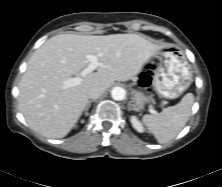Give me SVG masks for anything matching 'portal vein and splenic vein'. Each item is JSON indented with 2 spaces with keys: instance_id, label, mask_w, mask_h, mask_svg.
Segmentation results:
<instances>
[{
  "instance_id": "1",
  "label": "portal vein and splenic vein",
  "mask_w": 222,
  "mask_h": 187,
  "mask_svg": "<svg viewBox=\"0 0 222 187\" xmlns=\"http://www.w3.org/2000/svg\"><path fill=\"white\" fill-rule=\"evenodd\" d=\"M87 60L90 62L89 65L81 72V77H85L86 75L92 73L95 69H97L99 66H103L98 61V57L94 55H86ZM81 77H74L70 78L68 80H65L62 83V87L64 89L76 86L81 83L82 78ZM152 113H156L153 109L150 110Z\"/></svg>"
}]
</instances>
